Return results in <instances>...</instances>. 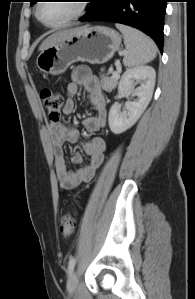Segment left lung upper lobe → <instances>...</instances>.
Listing matches in <instances>:
<instances>
[{
    "instance_id": "obj_1",
    "label": "left lung upper lobe",
    "mask_w": 195,
    "mask_h": 299,
    "mask_svg": "<svg viewBox=\"0 0 195 299\" xmlns=\"http://www.w3.org/2000/svg\"><path fill=\"white\" fill-rule=\"evenodd\" d=\"M31 6L37 2V0H30Z\"/></svg>"
}]
</instances>
